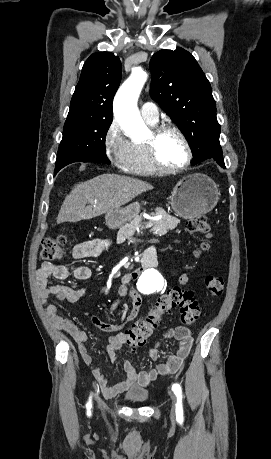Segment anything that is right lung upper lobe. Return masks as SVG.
<instances>
[{
    "label": "right lung upper lobe",
    "instance_id": "right-lung-upper-lobe-1",
    "mask_svg": "<svg viewBox=\"0 0 271 459\" xmlns=\"http://www.w3.org/2000/svg\"><path fill=\"white\" fill-rule=\"evenodd\" d=\"M121 80V61L110 52L92 54L82 68L73 94L71 115L112 116V101Z\"/></svg>",
    "mask_w": 271,
    "mask_h": 459
}]
</instances>
